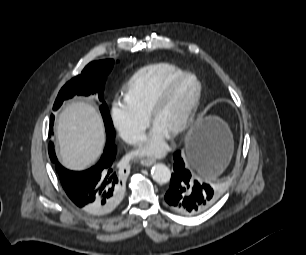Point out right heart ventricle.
Wrapping results in <instances>:
<instances>
[{"mask_svg": "<svg viewBox=\"0 0 306 255\" xmlns=\"http://www.w3.org/2000/svg\"><path fill=\"white\" fill-rule=\"evenodd\" d=\"M186 73L170 63L147 65L136 71L124 88L125 100L138 112L147 116L159 94L175 79Z\"/></svg>", "mask_w": 306, "mask_h": 255, "instance_id": "1", "label": "right heart ventricle"}]
</instances>
